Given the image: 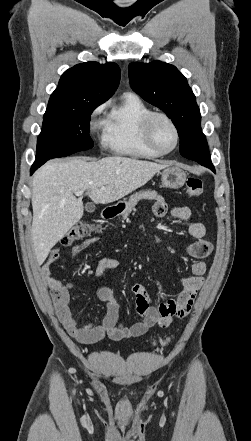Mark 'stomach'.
Segmentation results:
<instances>
[{"label": "stomach", "mask_w": 251, "mask_h": 441, "mask_svg": "<svg viewBox=\"0 0 251 441\" xmlns=\"http://www.w3.org/2000/svg\"><path fill=\"white\" fill-rule=\"evenodd\" d=\"M161 181L163 187L179 189L186 181V173L179 167L168 166L161 173ZM125 206H127V203L123 201L116 205L119 212H121Z\"/></svg>", "instance_id": "obj_1"}]
</instances>
